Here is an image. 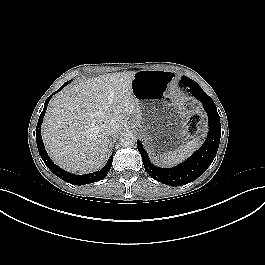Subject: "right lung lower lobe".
<instances>
[{
	"mask_svg": "<svg viewBox=\"0 0 265 265\" xmlns=\"http://www.w3.org/2000/svg\"><path fill=\"white\" fill-rule=\"evenodd\" d=\"M66 85H67V82L64 83L63 86L59 90H61ZM55 93H53V94H55ZM51 97H52V95L49 96L47 98V100L45 101L44 109H43V111H42V113H41V115L39 117L38 124H37V127H36L37 147H38V150H39V154L42 157L45 165L56 176H58L59 178H61L64 181H67L68 183L74 184V185L90 184V183H94V182H97V181L103 179L108 174V172H109V170H110V168L112 166V157H113V155H111V158L108 160V162L106 163L104 168H102L100 171H96V172L85 174V175H73V174H70V173L66 172L65 170L61 169L60 167H58L56 164H54L51 161V159L49 158V156H48V154H47V152H46V150L44 148V144H43L42 137H41V124H42L43 117H44L46 109H47L48 102L51 99Z\"/></svg>",
	"mask_w": 265,
	"mask_h": 265,
	"instance_id": "right-lung-lower-lobe-1",
	"label": "right lung lower lobe"
}]
</instances>
